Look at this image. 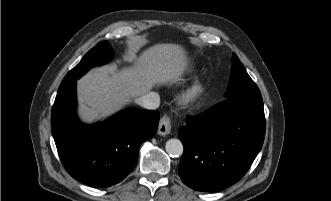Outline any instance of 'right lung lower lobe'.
Listing matches in <instances>:
<instances>
[{
	"label": "right lung lower lobe",
	"instance_id": "obj_1",
	"mask_svg": "<svg viewBox=\"0 0 331 201\" xmlns=\"http://www.w3.org/2000/svg\"><path fill=\"white\" fill-rule=\"evenodd\" d=\"M75 84L58 90L52 108L58 154L74 179L94 187L112 186L134 169L140 145L157 131L159 112L127 109L86 126L76 117Z\"/></svg>",
	"mask_w": 331,
	"mask_h": 201
}]
</instances>
